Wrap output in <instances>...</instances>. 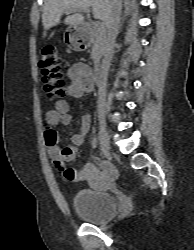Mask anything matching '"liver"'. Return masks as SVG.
I'll use <instances>...</instances> for the list:
<instances>
[{
    "label": "liver",
    "instance_id": "6515ba94",
    "mask_svg": "<svg viewBox=\"0 0 194 250\" xmlns=\"http://www.w3.org/2000/svg\"><path fill=\"white\" fill-rule=\"evenodd\" d=\"M114 6V0H47L42 14L44 35L50 28L58 25L63 13L69 10H82L92 7L95 18L101 19L107 27ZM65 24L74 26L84 22V16L74 14L65 19Z\"/></svg>",
    "mask_w": 194,
    "mask_h": 250
}]
</instances>
